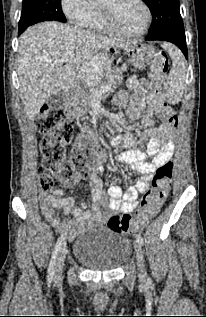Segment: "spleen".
<instances>
[{
  "label": "spleen",
  "instance_id": "obj_1",
  "mask_svg": "<svg viewBox=\"0 0 206 317\" xmlns=\"http://www.w3.org/2000/svg\"><path fill=\"white\" fill-rule=\"evenodd\" d=\"M163 48L172 59V67L163 88V96L172 105L181 101L186 76L185 61L182 53L172 44L163 43Z\"/></svg>",
  "mask_w": 206,
  "mask_h": 317
}]
</instances>
